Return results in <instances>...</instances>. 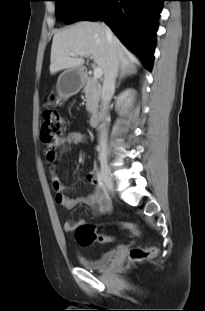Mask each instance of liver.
Returning a JSON list of instances; mask_svg holds the SVG:
<instances>
[{
    "label": "liver",
    "mask_w": 205,
    "mask_h": 311,
    "mask_svg": "<svg viewBox=\"0 0 205 311\" xmlns=\"http://www.w3.org/2000/svg\"><path fill=\"white\" fill-rule=\"evenodd\" d=\"M79 52L90 55L104 74L108 70L110 52L115 54L121 71L135 67L134 58L120 40L114 35L107 37L104 24L81 21L54 35L50 73L54 75L65 69H81L85 60L70 55Z\"/></svg>",
    "instance_id": "6515ba94"
}]
</instances>
